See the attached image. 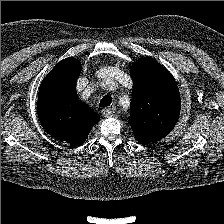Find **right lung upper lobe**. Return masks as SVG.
<instances>
[{"mask_svg": "<svg viewBox=\"0 0 224 224\" xmlns=\"http://www.w3.org/2000/svg\"><path fill=\"white\" fill-rule=\"evenodd\" d=\"M80 72L81 63L77 59L60 61L44 78L38 94L37 114L41 125L56 140L72 146L83 144L100 120L77 95L76 80Z\"/></svg>", "mask_w": 224, "mask_h": 224, "instance_id": "right-lung-upper-lobe-1", "label": "right lung upper lobe"}]
</instances>
